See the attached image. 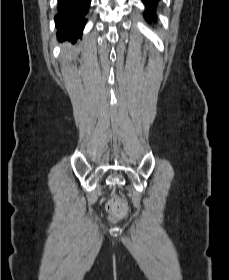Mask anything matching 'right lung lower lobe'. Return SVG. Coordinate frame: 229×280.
<instances>
[{
  "label": "right lung lower lobe",
  "instance_id": "1",
  "mask_svg": "<svg viewBox=\"0 0 229 280\" xmlns=\"http://www.w3.org/2000/svg\"><path fill=\"white\" fill-rule=\"evenodd\" d=\"M89 5L90 0H58L55 25L58 29L59 40L69 38L75 42L77 38L81 37Z\"/></svg>",
  "mask_w": 229,
  "mask_h": 280
}]
</instances>
